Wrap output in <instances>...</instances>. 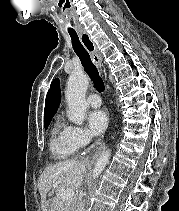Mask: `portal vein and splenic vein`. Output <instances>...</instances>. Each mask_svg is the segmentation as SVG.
Listing matches in <instances>:
<instances>
[{
  "instance_id": "obj_1",
  "label": "portal vein and splenic vein",
  "mask_w": 179,
  "mask_h": 211,
  "mask_svg": "<svg viewBox=\"0 0 179 211\" xmlns=\"http://www.w3.org/2000/svg\"><path fill=\"white\" fill-rule=\"evenodd\" d=\"M61 182H62V180L56 181L53 186L56 187ZM74 194H75V192L73 189L67 188L62 192V198L69 199V198L74 197Z\"/></svg>"
}]
</instances>
